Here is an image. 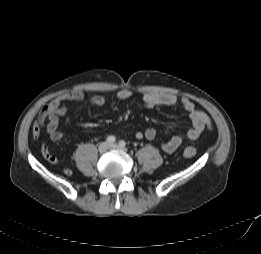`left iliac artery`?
I'll return each instance as SVG.
<instances>
[{"label":"left iliac artery","instance_id":"obj_1","mask_svg":"<svg viewBox=\"0 0 261 254\" xmlns=\"http://www.w3.org/2000/svg\"><path fill=\"white\" fill-rule=\"evenodd\" d=\"M119 145L124 148L126 146V143H125V141H120Z\"/></svg>","mask_w":261,"mask_h":254}]
</instances>
